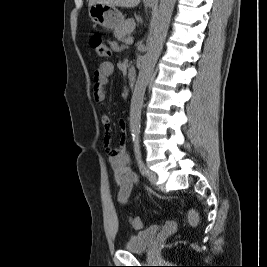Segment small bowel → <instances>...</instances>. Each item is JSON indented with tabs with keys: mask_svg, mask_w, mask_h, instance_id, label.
<instances>
[{
	"mask_svg": "<svg viewBox=\"0 0 267 267\" xmlns=\"http://www.w3.org/2000/svg\"><path fill=\"white\" fill-rule=\"evenodd\" d=\"M117 48L116 44H113ZM114 73L113 63L106 61L94 72L93 81V98L97 102H102L106 98V85L109 77ZM101 123L105 130V143L109 145L112 136L111 119L108 114L101 116ZM119 128L121 131L120 144L116 148L108 146L109 162L114 171V179L119 187L118 201L122 204H127L133 187L138 184V175L130 168V158L125 149L126 141V122L123 119L119 120Z\"/></svg>",
	"mask_w": 267,
	"mask_h": 267,
	"instance_id": "obj_1",
	"label": "small bowel"
}]
</instances>
